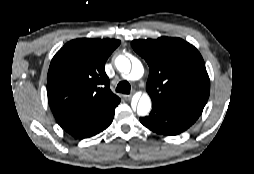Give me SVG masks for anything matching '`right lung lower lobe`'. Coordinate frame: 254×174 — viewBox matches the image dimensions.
I'll return each mask as SVG.
<instances>
[{"label": "right lung lower lobe", "instance_id": "1", "mask_svg": "<svg viewBox=\"0 0 254 174\" xmlns=\"http://www.w3.org/2000/svg\"><path fill=\"white\" fill-rule=\"evenodd\" d=\"M117 105L92 110L61 127L75 138H89L100 133L111 124Z\"/></svg>", "mask_w": 254, "mask_h": 174}]
</instances>
